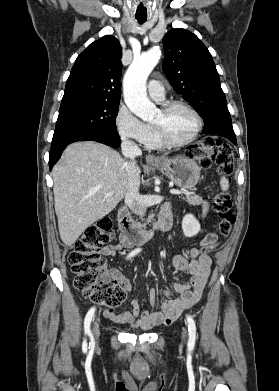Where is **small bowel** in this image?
Masks as SVG:
<instances>
[{
  "instance_id": "1",
  "label": "small bowel",
  "mask_w": 279,
  "mask_h": 391,
  "mask_svg": "<svg viewBox=\"0 0 279 391\" xmlns=\"http://www.w3.org/2000/svg\"><path fill=\"white\" fill-rule=\"evenodd\" d=\"M208 207V203L204 201L201 216H205ZM216 241L217 235L208 233L201 241V249L192 248L190 250V260L182 255L174 256V267L180 271H188L191 274V279L165 288L163 290L164 298L160 302L156 301L155 291L152 289L150 291V303L156 309L155 312L144 311L140 313L138 301L132 300V311L115 313L114 309L107 308L104 311L105 317L114 323L130 325L144 330L159 325L171 324L182 312L193 306L201 298L211 270V259L204 252V248ZM129 247L121 236L118 244L106 245L101 252L106 256L114 257L120 251ZM111 273L114 278L118 279L124 291L129 292L131 290V284L124 275L118 271H112ZM174 295H178V297L173 298Z\"/></svg>"
}]
</instances>
